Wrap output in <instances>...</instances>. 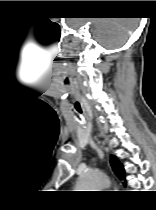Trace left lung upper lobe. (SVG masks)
Here are the masks:
<instances>
[{"label":"left lung upper lobe","instance_id":"5c2ea615","mask_svg":"<svg viewBox=\"0 0 156 210\" xmlns=\"http://www.w3.org/2000/svg\"><path fill=\"white\" fill-rule=\"evenodd\" d=\"M111 165L112 168L115 172V174L120 178V179H124V168L122 166V164L117 160V158L115 156L111 157Z\"/></svg>","mask_w":156,"mask_h":210}]
</instances>
